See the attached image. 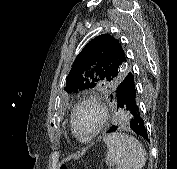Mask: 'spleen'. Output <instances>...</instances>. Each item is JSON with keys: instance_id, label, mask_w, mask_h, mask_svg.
I'll use <instances>...</instances> for the list:
<instances>
[{"instance_id": "spleen-1", "label": "spleen", "mask_w": 177, "mask_h": 169, "mask_svg": "<svg viewBox=\"0 0 177 169\" xmlns=\"http://www.w3.org/2000/svg\"><path fill=\"white\" fill-rule=\"evenodd\" d=\"M107 146L106 164L116 169H142L146 163L142 144L125 133H111L103 138Z\"/></svg>"}]
</instances>
